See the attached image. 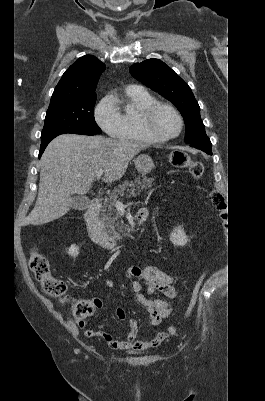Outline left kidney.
<instances>
[{"label":"left kidney","instance_id":"obj_1","mask_svg":"<svg viewBox=\"0 0 265 401\" xmlns=\"http://www.w3.org/2000/svg\"><path fill=\"white\" fill-rule=\"evenodd\" d=\"M170 241H172L175 247H184V245H187L189 239H187L182 227H176L170 235Z\"/></svg>","mask_w":265,"mask_h":401}]
</instances>
